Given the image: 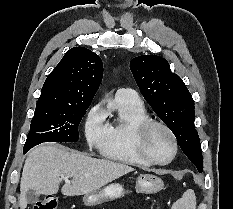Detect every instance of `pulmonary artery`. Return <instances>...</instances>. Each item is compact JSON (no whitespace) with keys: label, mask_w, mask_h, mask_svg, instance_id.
I'll use <instances>...</instances> for the list:
<instances>
[{"label":"pulmonary artery","mask_w":233,"mask_h":209,"mask_svg":"<svg viewBox=\"0 0 233 209\" xmlns=\"http://www.w3.org/2000/svg\"><path fill=\"white\" fill-rule=\"evenodd\" d=\"M117 93L124 94L127 97H129V98H131L133 100H136V101L140 100L139 97H138V95L136 94V92L133 91V90H131V89H119L117 91Z\"/></svg>","instance_id":"obj_1"}]
</instances>
